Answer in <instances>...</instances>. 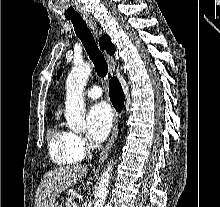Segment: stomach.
<instances>
[{"label": "stomach", "instance_id": "1", "mask_svg": "<svg viewBox=\"0 0 220 207\" xmlns=\"http://www.w3.org/2000/svg\"><path fill=\"white\" fill-rule=\"evenodd\" d=\"M53 207H60L57 203H55L54 205H53Z\"/></svg>", "mask_w": 220, "mask_h": 207}]
</instances>
